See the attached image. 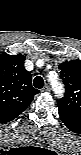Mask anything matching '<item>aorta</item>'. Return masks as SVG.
Returning a JSON list of instances; mask_svg holds the SVG:
<instances>
[{
    "label": "aorta",
    "instance_id": "aorta-1",
    "mask_svg": "<svg viewBox=\"0 0 81 155\" xmlns=\"http://www.w3.org/2000/svg\"><path fill=\"white\" fill-rule=\"evenodd\" d=\"M51 85H52V88H53L54 92L58 96H61L62 93H63V85L57 80H52Z\"/></svg>",
    "mask_w": 81,
    "mask_h": 155
}]
</instances>
